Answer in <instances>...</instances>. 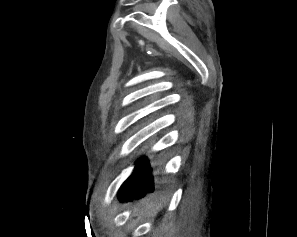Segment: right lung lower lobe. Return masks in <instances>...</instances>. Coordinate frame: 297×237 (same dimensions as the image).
Wrapping results in <instances>:
<instances>
[{
  "label": "right lung lower lobe",
  "mask_w": 297,
  "mask_h": 237,
  "mask_svg": "<svg viewBox=\"0 0 297 237\" xmlns=\"http://www.w3.org/2000/svg\"><path fill=\"white\" fill-rule=\"evenodd\" d=\"M150 163L146 157L137 161V165L131 177L124 183L119 200L126 201L135 197H141L154 191L153 176Z\"/></svg>",
  "instance_id": "obj_1"
}]
</instances>
